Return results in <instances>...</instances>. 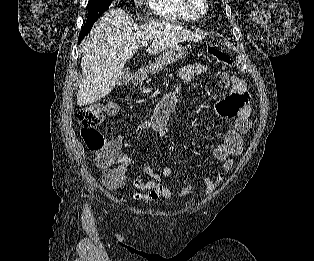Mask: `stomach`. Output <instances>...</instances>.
Instances as JSON below:
<instances>
[{
  "label": "stomach",
  "mask_w": 314,
  "mask_h": 261,
  "mask_svg": "<svg viewBox=\"0 0 314 261\" xmlns=\"http://www.w3.org/2000/svg\"><path fill=\"white\" fill-rule=\"evenodd\" d=\"M186 53V48L179 43L169 47L156 59L152 65V72L158 73L165 65L176 62L178 59L186 56Z\"/></svg>",
  "instance_id": "0dacf381"
}]
</instances>
